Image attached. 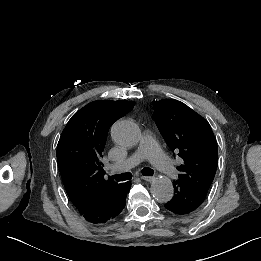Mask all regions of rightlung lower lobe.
<instances>
[{
	"mask_svg": "<svg viewBox=\"0 0 261 261\" xmlns=\"http://www.w3.org/2000/svg\"><path fill=\"white\" fill-rule=\"evenodd\" d=\"M131 183H121L95 195L79 213L91 223H105L115 218L125 207Z\"/></svg>",
	"mask_w": 261,
	"mask_h": 261,
	"instance_id": "obj_1",
	"label": "right lung lower lobe"
}]
</instances>
